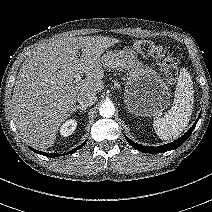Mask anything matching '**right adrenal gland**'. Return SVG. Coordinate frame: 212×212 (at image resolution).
Instances as JSON below:
<instances>
[{
    "instance_id": "2a0ac1e0",
    "label": "right adrenal gland",
    "mask_w": 212,
    "mask_h": 212,
    "mask_svg": "<svg viewBox=\"0 0 212 212\" xmlns=\"http://www.w3.org/2000/svg\"><path fill=\"white\" fill-rule=\"evenodd\" d=\"M77 109H80L81 111H86L87 107H83V106H79L77 105L75 108H74V112L77 110Z\"/></svg>"
}]
</instances>
